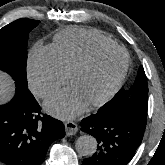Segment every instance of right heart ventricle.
I'll list each match as a JSON object with an SVG mask.
<instances>
[{"instance_id":"e07e8e85","label":"right heart ventricle","mask_w":165,"mask_h":165,"mask_svg":"<svg viewBox=\"0 0 165 165\" xmlns=\"http://www.w3.org/2000/svg\"><path fill=\"white\" fill-rule=\"evenodd\" d=\"M112 44L116 43L98 30L68 28L55 35L51 49L60 66L69 74L93 48Z\"/></svg>"}]
</instances>
